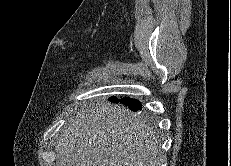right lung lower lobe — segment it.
Wrapping results in <instances>:
<instances>
[{"mask_svg": "<svg viewBox=\"0 0 231 166\" xmlns=\"http://www.w3.org/2000/svg\"><path fill=\"white\" fill-rule=\"evenodd\" d=\"M109 100L113 103H122L125 107L129 108L132 111H139L142 109V104L133 98L125 97L122 99H117V97L112 96Z\"/></svg>", "mask_w": 231, "mask_h": 166, "instance_id": "obj_1", "label": "right lung lower lobe"}]
</instances>
